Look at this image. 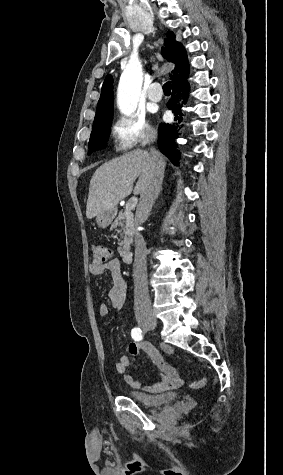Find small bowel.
I'll list each match as a JSON object with an SVG mask.
<instances>
[{"label": "small bowel", "mask_w": 283, "mask_h": 475, "mask_svg": "<svg viewBox=\"0 0 283 475\" xmlns=\"http://www.w3.org/2000/svg\"><path fill=\"white\" fill-rule=\"evenodd\" d=\"M92 276H101L109 272L112 279V286L108 292V298L114 309H121L126 300L127 284L120 271V261L111 259L106 264L91 263L88 267ZM109 309L107 304L101 303L98 306V314L101 317L108 315ZM145 351L150 357L153 364L161 372L160 381L152 388L156 391H165L177 388L183 385V373L178 372L174 367L167 363L159 351L149 343H133L129 346V352L132 356H137L140 351ZM132 360L128 355H122L114 364L117 373L123 375L125 382L134 389L141 388V382L131 373L127 372Z\"/></svg>", "instance_id": "small-bowel-1"}]
</instances>
